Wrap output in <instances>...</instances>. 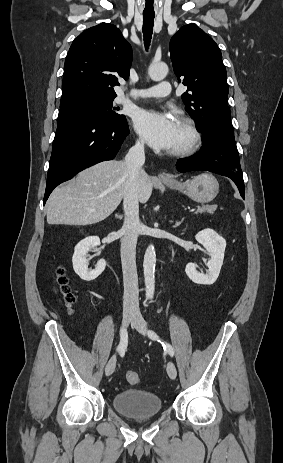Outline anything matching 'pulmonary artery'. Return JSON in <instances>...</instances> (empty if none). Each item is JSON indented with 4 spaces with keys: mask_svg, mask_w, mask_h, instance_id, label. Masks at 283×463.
<instances>
[{
    "mask_svg": "<svg viewBox=\"0 0 283 463\" xmlns=\"http://www.w3.org/2000/svg\"><path fill=\"white\" fill-rule=\"evenodd\" d=\"M170 91V84L168 82H162L159 85L138 90L136 92V96L140 98H163L167 97L170 94ZM128 97V95L119 97L118 101L123 102Z\"/></svg>",
    "mask_w": 283,
    "mask_h": 463,
    "instance_id": "1",
    "label": "pulmonary artery"
}]
</instances>
